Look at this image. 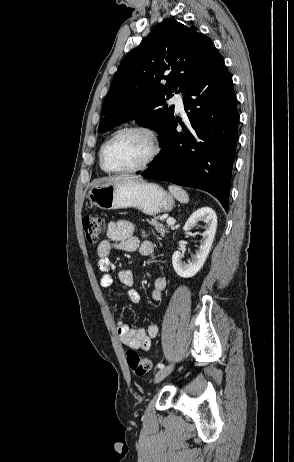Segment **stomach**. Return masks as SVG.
I'll return each instance as SVG.
<instances>
[{"label":"stomach","mask_w":294,"mask_h":462,"mask_svg":"<svg viewBox=\"0 0 294 462\" xmlns=\"http://www.w3.org/2000/svg\"><path fill=\"white\" fill-rule=\"evenodd\" d=\"M88 199L101 209L137 208L151 216L169 212L174 207L172 195L158 184L130 178L93 187Z\"/></svg>","instance_id":"stomach-1"}]
</instances>
